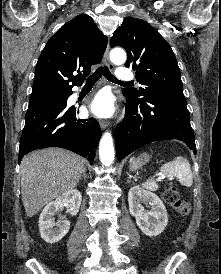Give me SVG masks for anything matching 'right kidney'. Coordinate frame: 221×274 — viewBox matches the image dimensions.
<instances>
[{
  "label": "right kidney",
  "mask_w": 221,
  "mask_h": 274,
  "mask_svg": "<svg viewBox=\"0 0 221 274\" xmlns=\"http://www.w3.org/2000/svg\"><path fill=\"white\" fill-rule=\"evenodd\" d=\"M81 201L80 191L73 189L46 205L39 217L41 238L50 244L60 241L68 233L70 223L67 220H60L55 224V214L64 207H68L69 213L75 216L79 212Z\"/></svg>",
  "instance_id": "1"
}]
</instances>
